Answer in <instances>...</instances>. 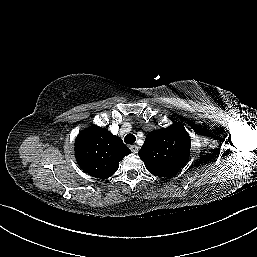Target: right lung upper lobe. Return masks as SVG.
Masks as SVG:
<instances>
[{"instance_id": "obj_1", "label": "right lung upper lobe", "mask_w": 257, "mask_h": 257, "mask_svg": "<svg viewBox=\"0 0 257 257\" xmlns=\"http://www.w3.org/2000/svg\"><path fill=\"white\" fill-rule=\"evenodd\" d=\"M130 153L121 138L96 125L82 131L75 141L77 163L95 178L112 176L118 170L119 162Z\"/></svg>"}]
</instances>
